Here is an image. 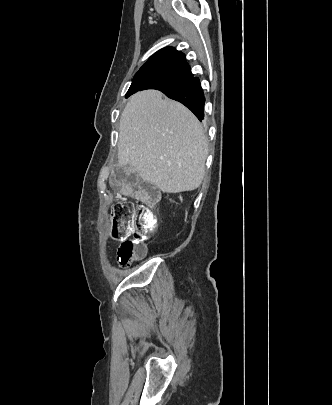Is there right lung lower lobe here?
Listing matches in <instances>:
<instances>
[{
  "label": "right lung lower lobe",
  "instance_id": "1",
  "mask_svg": "<svg viewBox=\"0 0 332 405\" xmlns=\"http://www.w3.org/2000/svg\"><path fill=\"white\" fill-rule=\"evenodd\" d=\"M167 97L181 102L189 108L195 116L202 121L204 119L205 97L197 77H191L174 86L160 89ZM136 91H128L126 97Z\"/></svg>",
  "mask_w": 332,
  "mask_h": 405
}]
</instances>
